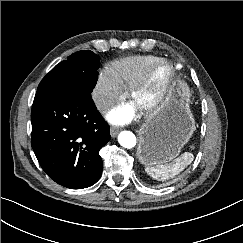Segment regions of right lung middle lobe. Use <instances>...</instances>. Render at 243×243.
<instances>
[{"label": "right lung middle lobe", "mask_w": 243, "mask_h": 243, "mask_svg": "<svg viewBox=\"0 0 243 243\" xmlns=\"http://www.w3.org/2000/svg\"><path fill=\"white\" fill-rule=\"evenodd\" d=\"M99 59L89 50L70 55L57 64L40 82L37 92L90 96L97 82Z\"/></svg>", "instance_id": "right-lung-middle-lobe-1"}]
</instances>
